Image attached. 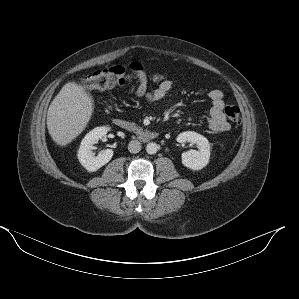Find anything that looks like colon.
<instances>
[{"mask_svg":"<svg viewBox=\"0 0 299 299\" xmlns=\"http://www.w3.org/2000/svg\"><path fill=\"white\" fill-rule=\"evenodd\" d=\"M138 76L139 74L135 71H129L123 66H114L86 75L82 80V85L85 89L90 91H105ZM151 78L154 81H160L163 79V75L154 73L151 75ZM227 98L229 101H233L234 95L228 92ZM225 114L231 121H238L240 108L235 103H230L225 108Z\"/></svg>","mask_w":299,"mask_h":299,"instance_id":"5ec220e1","label":"colon"}]
</instances>
